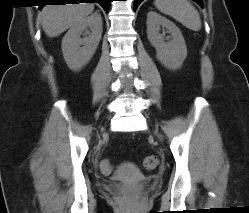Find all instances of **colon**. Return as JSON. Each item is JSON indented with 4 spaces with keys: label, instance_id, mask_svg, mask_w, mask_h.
I'll return each mask as SVG.
<instances>
[{
    "label": "colon",
    "instance_id": "colon-1",
    "mask_svg": "<svg viewBox=\"0 0 249 213\" xmlns=\"http://www.w3.org/2000/svg\"><path fill=\"white\" fill-rule=\"evenodd\" d=\"M158 165V159L154 155H148L146 156L142 161V167L146 170H152L155 169ZM101 168L104 173L111 172V165L108 160H103L101 162Z\"/></svg>",
    "mask_w": 249,
    "mask_h": 213
}]
</instances>
